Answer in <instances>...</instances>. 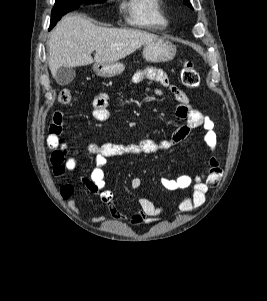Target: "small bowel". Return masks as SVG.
I'll return each mask as SVG.
<instances>
[{
  "label": "small bowel",
  "mask_w": 267,
  "mask_h": 301,
  "mask_svg": "<svg viewBox=\"0 0 267 301\" xmlns=\"http://www.w3.org/2000/svg\"><path fill=\"white\" fill-rule=\"evenodd\" d=\"M145 79H149L169 88L177 102L176 116L184 123L175 131V133L159 142L148 138H142L137 142L129 144L91 143L88 151L95 156L94 166L89 175H81V184L93 195L97 196L104 204L112 218L123 216L114 204V194L106 188L105 174L103 167L107 159L123 155L151 154L172 148L178 142L186 139L191 130L203 128L205 130L204 141L211 152L217 147L218 139L214 130V122L200 111L194 109L190 104L189 97L178 87L172 85L167 74L158 69H145L137 71L132 81L139 84ZM147 92L155 96H163L160 88H147ZM92 115L98 121H106L109 116V96L105 92L98 93L92 102ZM64 125L61 112H55L47 137V146L51 150L50 161L53 166V173L56 177L64 179L67 171H74L77 168V161L74 157H66V145L60 142V136ZM208 170L191 177L186 174L179 175L176 178L162 177L160 183L166 190H184L189 189V195L179 204L174 214H183L191 212L201 207L205 202L207 192L218 186L223 170L220 167L216 157L211 156L208 159ZM142 180L135 177L131 181L133 189H139ZM59 193L63 200L67 202L68 208L75 214H79L77 202L73 197L74 186L63 181L59 187ZM140 209L129 215L133 223L150 224L161 220L166 209L164 206L157 205L150 199L142 197L139 200Z\"/></svg>",
  "instance_id": "c3829d8e"
}]
</instances>
